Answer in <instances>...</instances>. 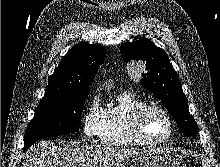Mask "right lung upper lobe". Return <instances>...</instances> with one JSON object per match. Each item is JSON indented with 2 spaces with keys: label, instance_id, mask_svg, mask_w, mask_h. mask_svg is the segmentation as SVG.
<instances>
[{
  "label": "right lung upper lobe",
  "instance_id": "cb5924a9",
  "mask_svg": "<svg viewBox=\"0 0 220 167\" xmlns=\"http://www.w3.org/2000/svg\"><path fill=\"white\" fill-rule=\"evenodd\" d=\"M105 56L106 49L102 46L88 43L75 45L50 76L42 99L72 91L89 90Z\"/></svg>",
  "mask_w": 220,
  "mask_h": 167
}]
</instances>
